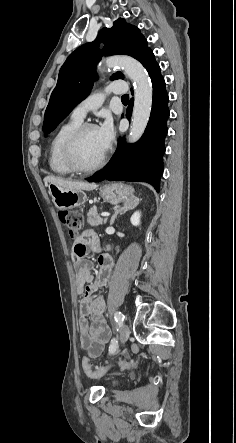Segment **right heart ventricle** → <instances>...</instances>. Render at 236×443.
Segmentation results:
<instances>
[{
  "mask_svg": "<svg viewBox=\"0 0 236 443\" xmlns=\"http://www.w3.org/2000/svg\"><path fill=\"white\" fill-rule=\"evenodd\" d=\"M81 124L82 120L71 117L53 135L49 145L48 163L54 173L60 175L73 173L63 161L62 149L68 136Z\"/></svg>",
  "mask_w": 236,
  "mask_h": 443,
  "instance_id": "e07e8e85",
  "label": "right heart ventricle"
}]
</instances>
